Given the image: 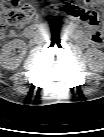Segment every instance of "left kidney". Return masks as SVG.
<instances>
[{
    "instance_id": "left-kidney-1",
    "label": "left kidney",
    "mask_w": 104,
    "mask_h": 137,
    "mask_svg": "<svg viewBox=\"0 0 104 137\" xmlns=\"http://www.w3.org/2000/svg\"><path fill=\"white\" fill-rule=\"evenodd\" d=\"M94 56V58H93ZM103 53L97 49H89L86 52L87 63L91 70L95 72H100L104 68V57Z\"/></svg>"
}]
</instances>
